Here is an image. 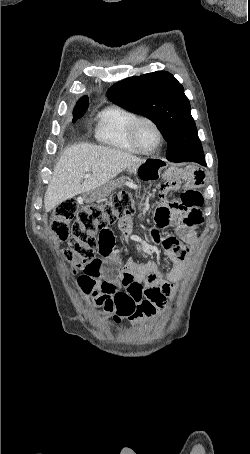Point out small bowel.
Listing matches in <instances>:
<instances>
[{"instance_id":"small-bowel-1","label":"small bowel","mask_w":250,"mask_h":454,"mask_svg":"<svg viewBox=\"0 0 250 454\" xmlns=\"http://www.w3.org/2000/svg\"><path fill=\"white\" fill-rule=\"evenodd\" d=\"M204 180L200 170L179 173L157 185L161 197L155 209L157 228H176V235L162 236L152 229V241L161 244L172 267L163 269L156 263L124 261V254L115 245L113 232L105 227L99 232L98 252L83 270L78 285L88 300L108 313L116 321L122 318L132 323L146 325L164 308L173 295L174 284L180 281L185 268L186 256L197 242V230L203 222V204L199 188ZM180 187L178 199L167 200V195ZM121 233L130 238L131 220L123 218L119 223Z\"/></svg>"}]
</instances>
